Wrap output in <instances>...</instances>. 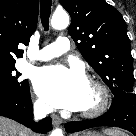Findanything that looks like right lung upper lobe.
Returning <instances> with one entry per match:
<instances>
[{"mask_svg":"<svg viewBox=\"0 0 136 136\" xmlns=\"http://www.w3.org/2000/svg\"><path fill=\"white\" fill-rule=\"evenodd\" d=\"M37 18V0H0V64L23 57L18 44H29Z\"/></svg>","mask_w":136,"mask_h":136,"instance_id":"1","label":"right lung upper lobe"}]
</instances>
